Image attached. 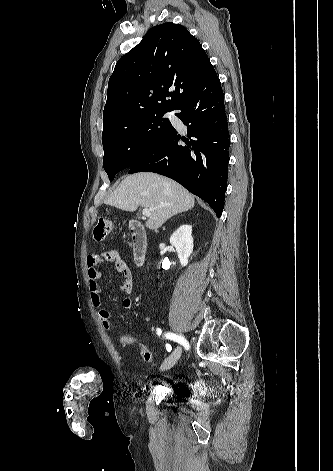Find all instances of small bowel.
<instances>
[{
  "label": "small bowel",
  "instance_id": "obj_1",
  "mask_svg": "<svg viewBox=\"0 0 333 471\" xmlns=\"http://www.w3.org/2000/svg\"><path fill=\"white\" fill-rule=\"evenodd\" d=\"M104 262L113 263L115 271L119 276L120 288L126 295L122 301V307L124 311H129L132 307L131 293L133 291V277L130 267L122 258L120 253L116 250L94 252L87 257L86 267L90 298L93 306L98 308L97 313L102 325L106 329H110L112 316L109 311L102 307V290L99 285V280L101 279L102 275L97 269V265ZM146 321H149V318H146Z\"/></svg>",
  "mask_w": 333,
  "mask_h": 471
}]
</instances>
